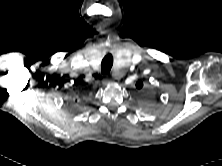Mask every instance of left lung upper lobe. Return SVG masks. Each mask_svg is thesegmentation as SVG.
Here are the masks:
<instances>
[{
	"instance_id": "obj_1",
	"label": "left lung upper lobe",
	"mask_w": 222,
	"mask_h": 166,
	"mask_svg": "<svg viewBox=\"0 0 222 166\" xmlns=\"http://www.w3.org/2000/svg\"><path fill=\"white\" fill-rule=\"evenodd\" d=\"M142 85H143L142 82L139 81V82H137L136 87H137V88H141Z\"/></svg>"
}]
</instances>
